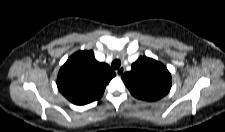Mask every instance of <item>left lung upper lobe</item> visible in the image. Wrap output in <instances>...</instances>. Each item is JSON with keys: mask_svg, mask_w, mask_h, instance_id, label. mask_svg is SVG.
<instances>
[{"mask_svg": "<svg viewBox=\"0 0 225 132\" xmlns=\"http://www.w3.org/2000/svg\"><path fill=\"white\" fill-rule=\"evenodd\" d=\"M131 94L142 100L156 101L164 97L171 88V74L158 61L141 56L132 64V69L122 76Z\"/></svg>", "mask_w": 225, "mask_h": 132, "instance_id": "obj_1", "label": "left lung upper lobe"}]
</instances>
